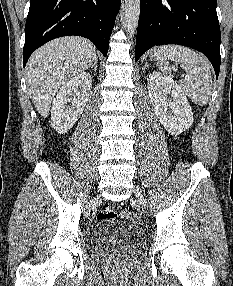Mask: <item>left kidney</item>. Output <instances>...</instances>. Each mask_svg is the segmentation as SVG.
<instances>
[{
  "label": "left kidney",
  "instance_id": "1",
  "mask_svg": "<svg viewBox=\"0 0 233 286\" xmlns=\"http://www.w3.org/2000/svg\"><path fill=\"white\" fill-rule=\"evenodd\" d=\"M147 88L154 112L169 133L178 135L190 128L191 106L182 88L171 77L154 71L149 74Z\"/></svg>",
  "mask_w": 233,
  "mask_h": 286
}]
</instances>
